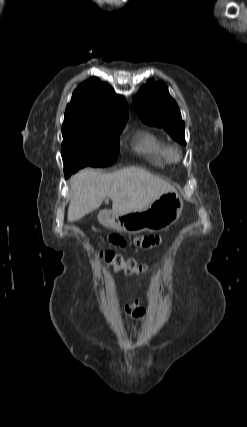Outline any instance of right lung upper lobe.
<instances>
[{"mask_svg":"<svg viewBox=\"0 0 247 427\" xmlns=\"http://www.w3.org/2000/svg\"><path fill=\"white\" fill-rule=\"evenodd\" d=\"M65 118H76L105 127L121 126L128 118V105L112 87L92 77L80 84L66 107Z\"/></svg>","mask_w":247,"mask_h":427,"instance_id":"cb5924a9","label":"right lung upper lobe"}]
</instances>
